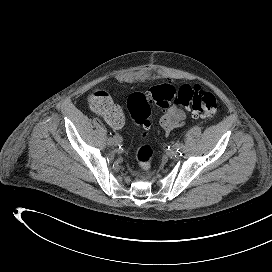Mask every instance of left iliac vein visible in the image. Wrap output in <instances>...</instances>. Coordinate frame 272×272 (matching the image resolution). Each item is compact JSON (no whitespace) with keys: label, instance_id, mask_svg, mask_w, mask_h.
<instances>
[{"label":"left iliac vein","instance_id":"1","mask_svg":"<svg viewBox=\"0 0 272 272\" xmlns=\"http://www.w3.org/2000/svg\"><path fill=\"white\" fill-rule=\"evenodd\" d=\"M168 154H169V156L174 157L177 154V152L175 150H171V151H169Z\"/></svg>","mask_w":272,"mask_h":272}]
</instances>
